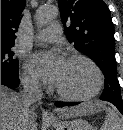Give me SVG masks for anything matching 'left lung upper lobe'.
I'll return each instance as SVG.
<instances>
[{"label": "left lung upper lobe", "mask_w": 123, "mask_h": 130, "mask_svg": "<svg viewBox=\"0 0 123 130\" xmlns=\"http://www.w3.org/2000/svg\"><path fill=\"white\" fill-rule=\"evenodd\" d=\"M67 39L90 57L105 75L100 99L123 108L116 76L114 25L103 0H58Z\"/></svg>", "instance_id": "obj_1"}]
</instances>
